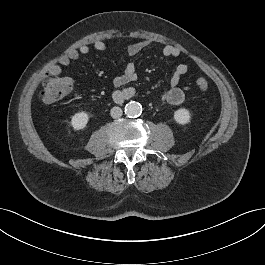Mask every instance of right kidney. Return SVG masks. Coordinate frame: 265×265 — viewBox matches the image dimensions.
I'll list each match as a JSON object with an SVG mask.
<instances>
[{
	"label": "right kidney",
	"instance_id": "obj_1",
	"mask_svg": "<svg viewBox=\"0 0 265 265\" xmlns=\"http://www.w3.org/2000/svg\"><path fill=\"white\" fill-rule=\"evenodd\" d=\"M89 116L86 112H78L71 118V126L74 130H82L86 127Z\"/></svg>",
	"mask_w": 265,
	"mask_h": 265
}]
</instances>
